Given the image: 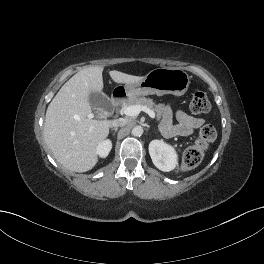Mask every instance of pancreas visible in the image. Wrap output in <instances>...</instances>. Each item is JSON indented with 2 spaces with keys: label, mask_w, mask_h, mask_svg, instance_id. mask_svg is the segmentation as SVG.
Here are the masks:
<instances>
[{
  "label": "pancreas",
  "mask_w": 264,
  "mask_h": 264,
  "mask_svg": "<svg viewBox=\"0 0 264 264\" xmlns=\"http://www.w3.org/2000/svg\"><path fill=\"white\" fill-rule=\"evenodd\" d=\"M132 105H140L148 107L155 112H160V107L150 98L145 97H130L122 103V109Z\"/></svg>",
  "instance_id": "obj_1"
}]
</instances>
